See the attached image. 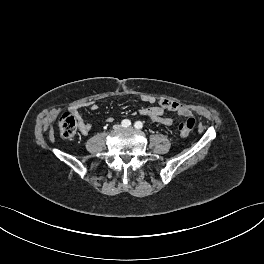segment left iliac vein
Segmentation results:
<instances>
[{"mask_svg":"<svg viewBox=\"0 0 264 264\" xmlns=\"http://www.w3.org/2000/svg\"><path fill=\"white\" fill-rule=\"evenodd\" d=\"M128 129H129V130H131V129H132V127H128Z\"/></svg>","mask_w":264,"mask_h":264,"instance_id":"obj_1","label":"left iliac vein"}]
</instances>
